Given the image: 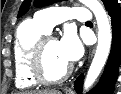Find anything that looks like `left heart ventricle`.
<instances>
[{
	"label": "left heart ventricle",
	"instance_id": "1",
	"mask_svg": "<svg viewBox=\"0 0 121 94\" xmlns=\"http://www.w3.org/2000/svg\"><path fill=\"white\" fill-rule=\"evenodd\" d=\"M70 65L60 52L58 41L49 40L44 49V69L50 78L58 77Z\"/></svg>",
	"mask_w": 121,
	"mask_h": 94
}]
</instances>
